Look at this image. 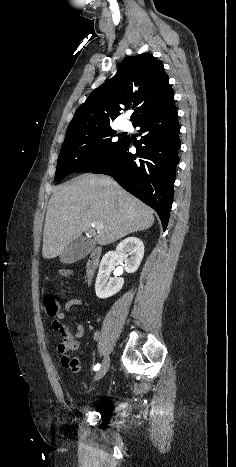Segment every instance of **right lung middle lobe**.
<instances>
[{
  "label": "right lung middle lobe",
  "instance_id": "1",
  "mask_svg": "<svg viewBox=\"0 0 236 467\" xmlns=\"http://www.w3.org/2000/svg\"><path fill=\"white\" fill-rule=\"evenodd\" d=\"M111 127L78 134H67L57 161L55 181L58 182L70 173L91 172L105 164L125 144L128 136L115 139Z\"/></svg>",
  "mask_w": 236,
  "mask_h": 467
}]
</instances>
